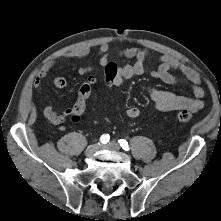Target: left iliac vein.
<instances>
[{
  "instance_id": "left-iliac-vein-1",
  "label": "left iliac vein",
  "mask_w": 221,
  "mask_h": 221,
  "mask_svg": "<svg viewBox=\"0 0 221 221\" xmlns=\"http://www.w3.org/2000/svg\"><path fill=\"white\" fill-rule=\"evenodd\" d=\"M101 147L112 151H118L120 149V145L115 141H111L106 145H102Z\"/></svg>"
}]
</instances>
